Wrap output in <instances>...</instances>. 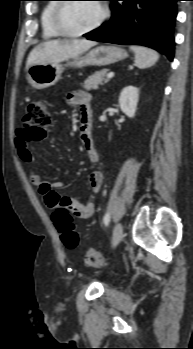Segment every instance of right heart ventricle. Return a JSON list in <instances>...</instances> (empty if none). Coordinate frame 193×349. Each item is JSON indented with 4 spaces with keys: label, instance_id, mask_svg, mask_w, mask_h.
Segmentation results:
<instances>
[{
    "label": "right heart ventricle",
    "instance_id": "1",
    "mask_svg": "<svg viewBox=\"0 0 193 349\" xmlns=\"http://www.w3.org/2000/svg\"><path fill=\"white\" fill-rule=\"evenodd\" d=\"M54 1H57V0H50L44 6L40 15L42 37L47 40L60 37L57 31L53 28L52 21H51L53 9L56 5Z\"/></svg>",
    "mask_w": 193,
    "mask_h": 349
}]
</instances>
